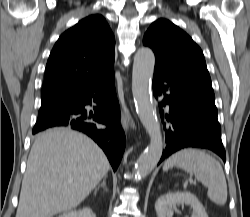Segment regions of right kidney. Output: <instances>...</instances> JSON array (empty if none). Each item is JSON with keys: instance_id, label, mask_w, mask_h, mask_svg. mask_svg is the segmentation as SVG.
<instances>
[{"instance_id": "ca27d5eb", "label": "right kidney", "mask_w": 250, "mask_h": 217, "mask_svg": "<svg viewBox=\"0 0 250 217\" xmlns=\"http://www.w3.org/2000/svg\"><path fill=\"white\" fill-rule=\"evenodd\" d=\"M58 217H96L90 208H83L75 211H68Z\"/></svg>"}]
</instances>
